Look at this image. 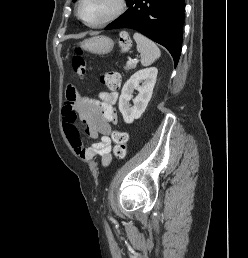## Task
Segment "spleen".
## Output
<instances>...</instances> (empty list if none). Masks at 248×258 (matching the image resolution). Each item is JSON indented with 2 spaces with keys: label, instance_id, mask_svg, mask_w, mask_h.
<instances>
[{
  "label": "spleen",
  "instance_id": "spleen-1",
  "mask_svg": "<svg viewBox=\"0 0 248 258\" xmlns=\"http://www.w3.org/2000/svg\"><path fill=\"white\" fill-rule=\"evenodd\" d=\"M133 38L137 44V51L141 56V64L143 66L151 65L161 55L157 45L140 33H134Z\"/></svg>",
  "mask_w": 248,
  "mask_h": 258
}]
</instances>
